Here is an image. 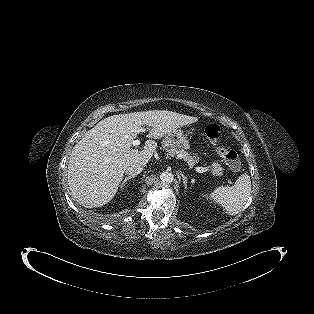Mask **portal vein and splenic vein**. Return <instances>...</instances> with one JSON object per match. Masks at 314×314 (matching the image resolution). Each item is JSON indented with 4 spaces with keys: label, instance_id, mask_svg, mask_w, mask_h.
Segmentation results:
<instances>
[{
    "label": "portal vein and splenic vein",
    "instance_id": "portal-vein-and-splenic-vein-1",
    "mask_svg": "<svg viewBox=\"0 0 314 314\" xmlns=\"http://www.w3.org/2000/svg\"><path fill=\"white\" fill-rule=\"evenodd\" d=\"M141 131L144 132L145 129H141ZM132 145L133 146H138V145H140V141L139 140H133L132 141ZM196 171L199 172V173H203V172H207L208 168L207 167H198V168H196Z\"/></svg>",
    "mask_w": 314,
    "mask_h": 314
}]
</instances>
